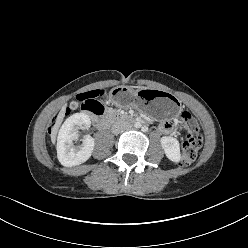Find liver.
<instances>
[{
  "instance_id": "obj_1",
  "label": "liver",
  "mask_w": 248,
  "mask_h": 248,
  "mask_svg": "<svg viewBox=\"0 0 248 248\" xmlns=\"http://www.w3.org/2000/svg\"><path fill=\"white\" fill-rule=\"evenodd\" d=\"M139 88H142V87H139ZM64 112H65V107H63L62 110L60 111V113H59V115L57 117L56 123L52 128V133H51V141H52V143H55L58 129H59V127H60V125L62 123L63 117H64Z\"/></svg>"
}]
</instances>
